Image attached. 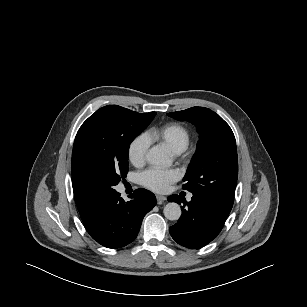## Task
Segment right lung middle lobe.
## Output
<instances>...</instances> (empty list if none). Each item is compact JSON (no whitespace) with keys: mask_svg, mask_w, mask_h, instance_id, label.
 Instances as JSON below:
<instances>
[{"mask_svg":"<svg viewBox=\"0 0 307 307\" xmlns=\"http://www.w3.org/2000/svg\"><path fill=\"white\" fill-rule=\"evenodd\" d=\"M156 112L140 114L109 105L97 110L77 132L72 152V185L86 201H102L128 172L130 143Z\"/></svg>","mask_w":307,"mask_h":307,"instance_id":"1","label":"right lung middle lobe"}]
</instances>
